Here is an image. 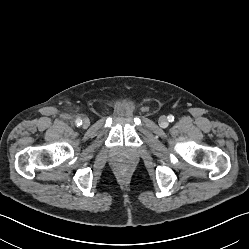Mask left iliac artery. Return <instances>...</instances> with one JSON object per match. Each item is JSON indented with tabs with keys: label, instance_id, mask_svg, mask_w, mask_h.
Segmentation results:
<instances>
[{
	"label": "left iliac artery",
	"instance_id": "44dca946",
	"mask_svg": "<svg viewBox=\"0 0 249 249\" xmlns=\"http://www.w3.org/2000/svg\"><path fill=\"white\" fill-rule=\"evenodd\" d=\"M167 119H168L169 122H173L174 121V116L173 115H169L167 117Z\"/></svg>",
	"mask_w": 249,
	"mask_h": 249
}]
</instances>
